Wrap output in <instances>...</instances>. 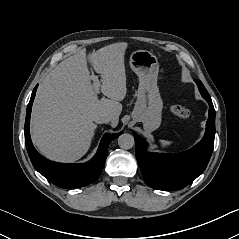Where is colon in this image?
<instances>
[{
    "label": "colon",
    "instance_id": "obj_1",
    "mask_svg": "<svg viewBox=\"0 0 239 239\" xmlns=\"http://www.w3.org/2000/svg\"><path fill=\"white\" fill-rule=\"evenodd\" d=\"M171 112L178 118L186 119L189 117L188 109L180 105H173L171 107Z\"/></svg>",
    "mask_w": 239,
    "mask_h": 239
}]
</instances>
